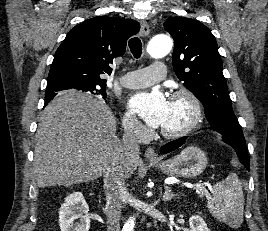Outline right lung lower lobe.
<instances>
[{"mask_svg": "<svg viewBox=\"0 0 268 231\" xmlns=\"http://www.w3.org/2000/svg\"><path fill=\"white\" fill-rule=\"evenodd\" d=\"M54 96H55V95H54ZM48 103H49V102L45 103V104H44V107H45Z\"/></svg>", "mask_w": 268, "mask_h": 231, "instance_id": "right-lung-lower-lobe-1", "label": "right lung lower lobe"}]
</instances>
